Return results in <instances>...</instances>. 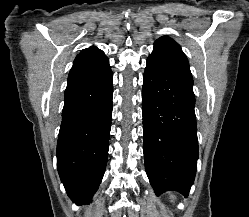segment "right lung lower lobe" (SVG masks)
<instances>
[{"instance_id": "1", "label": "right lung lower lobe", "mask_w": 249, "mask_h": 217, "mask_svg": "<svg viewBox=\"0 0 249 217\" xmlns=\"http://www.w3.org/2000/svg\"><path fill=\"white\" fill-rule=\"evenodd\" d=\"M113 74L102 52L76 59L68 76L57 143V167L69 197L91 200L105 172Z\"/></svg>"}]
</instances>
